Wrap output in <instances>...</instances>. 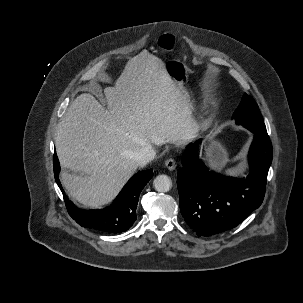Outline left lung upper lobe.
Returning a JSON list of instances; mask_svg holds the SVG:
<instances>
[{
    "label": "left lung upper lobe",
    "mask_w": 303,
    "mask_h": 303,
    "mask_svg": "<svg viewBox=\"0 0 303 303\" xmlns=\"http://www.w3.org/2000/svg\"><path fill=\"white\" fill-rule=\"evenodd\" d=\"M232 118L236 120L238 125L253 127L260 131L262 135H268L258 105L254 99L247 94L243 96V99Z\"/></svg>",
    "instance_id": "1"
}]
</instances>
